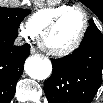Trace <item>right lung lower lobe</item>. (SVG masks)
Listing matches in <instances>:
<instances>
[{
	"instance_id": "1",
	"label": "right lung lower lobe",
	"mask_w": 103,
	"mask_h": 103,
	"mask_svg": "<svg viewBox=\"0 0 103 103\" xmlns=\"http://www.w3.org/2000/svg\"><path fill=\"white\" fill-rule=\"evenodd\" d=\"M16 36L0 32V103L10 102L29 55L30 45L15 46Z\"/></svg>"
}]
</instances>
